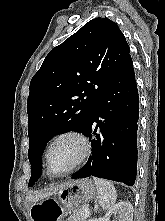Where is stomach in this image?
<instances>
[{"mask_svg": "<svg viewBox=\"0 0 165 221\" xmlns=\"http://www.w3.org/2000/svg\"><path fill=\"white\" fill-rule=\"evenodd\" d=\"M97 188L90 178L65 183L57 193V199L36 200L32 217H72L80 204L95 198ZM34 221H71V218H34Z\"/></svg>", "mask_w": 165, "mask_h": 221, "instance_id": "0dacf381", "label": "stomach"}]
</instances>
